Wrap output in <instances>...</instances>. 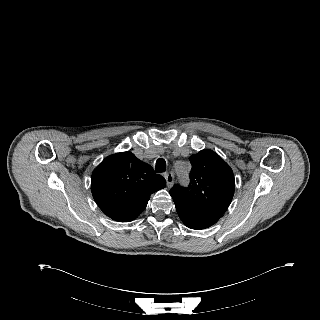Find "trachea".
Instances as JSON below:
<instances>
[{"label": "trachea", "mask_w": 320, "mask_h": 320, "mask_svg": "<svg viewBox=\"0 0 320 320\" xmlns=\"http://www.w3.org/2000/svg\"><path fill=\"white\" fill-rule=\"evenodd\" d=\"M155 170H156L157 173H163V172L166 171V162H165L164 159L159 158V159L156 161Z\"/></svg>", "instance_id": "1"}]
</instances>
